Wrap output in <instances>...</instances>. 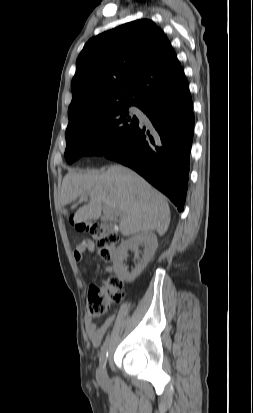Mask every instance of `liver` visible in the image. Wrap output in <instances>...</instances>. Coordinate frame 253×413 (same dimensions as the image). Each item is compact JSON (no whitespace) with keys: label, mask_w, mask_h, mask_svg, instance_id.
Instances as JSON below:
<instances>
[{"label":"liver","mask_w":253,"mask_h":413,"mask_svg":"<svg viewBox=\"0 0 253 413\" xmlns=\"http://www.w3.org/2000/svg\"><path fill=\"white\" fill-rule=\"evenodd\" d=\"M87 195L90 201L78 209L75 223L98 220L106 206L120 214L119 227L123 236L148 231L162 236L168 230L170 208L164 196L129 168L111 165L102 173L70 170L62 181V206ZM63 213L67 215L68 212L63 209Z\"/></svg>","instance_id":"1"}]
</instances>
